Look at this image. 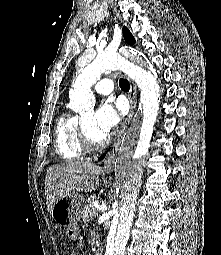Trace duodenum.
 <instances>
[{
  "instance_id": "obj_1",
  "label": "duodenum",
  "mask_w": 221,
  "mask_h": 255,
  "mask_svg": "<svg viewBox=\"0 0 221 255\" xmlns=\"http://www.w3.org/2000/svg\"><path fill=\"white\" fill-rule=\"evenodd\" d=\"M94 255H102V252H101L100 250H96V251L94 252Z\"/></svg>"
}]
</instances>
